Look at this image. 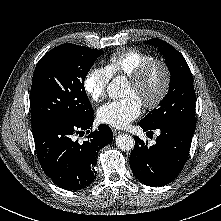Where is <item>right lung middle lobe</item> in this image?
<instances>
[{"mask_svg": "<svg viewBox=\"0 0 221 221\" xmlns=\"http://www.w3.org/2000/svg\"><path fill=\"white\" fill-rule=\"evenodd\" d=\"M102 53L65 43L39 60L30 92L32 129L52 120L76 121L94 113L84 80Z\"/></svg>", "mask_w": 221, "mask_h": 221, "instance_id": "dd1d6c3e", "label": "right lung middle lobe"}]
</instances>
